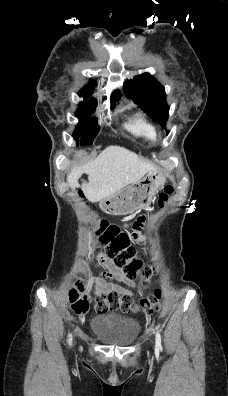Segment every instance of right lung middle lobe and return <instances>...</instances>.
<instances>
[{
    "instance_id": "dd1d6c3e",
    "label": "right lung middle lobe",
    "mask_w": 228,
    "mask_h": 396,
    "mask_svg": "<svg viewBox=\"0 0 228 396\" xmlns=\"http://www.w3.org/2000/svg\"><path fill=\"white\" fill-rule=\"evenodd\" d=\"M79 95L84 98L89 97V95ZM96 106L97 102L93 98L90 101L81 102L76 111V116L80 119V122L76 126L73 137L77 142L80 137L82 145L91 144L99 131V126L96 125V119L89 117L95 111Z\"/></svg>"
}]
</instances>
